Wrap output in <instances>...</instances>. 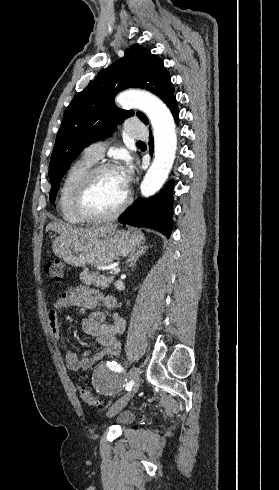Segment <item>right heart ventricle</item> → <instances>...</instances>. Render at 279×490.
Listing matches in <instances>:
<instances>
[{
  "label": "right heart ventricle",
  "mask_w": 279,
  "mask_h": 490,
  "mask_svg": "<svg viewBox=\"0 0 279 490\" xmlns=\"http://www.w3.org/2000/svg\"><path fill=\"white\" fill-rule=\"evenodd\" d=\"M93 164L94 162L82 156L68 167L62 180L59 190V208L63 220L71 225H83L87 222L76 210L75 196L83 175Z\"/></svg>",
  "instance_id": "right-heart-ventricle-1"
}]
</instances>
